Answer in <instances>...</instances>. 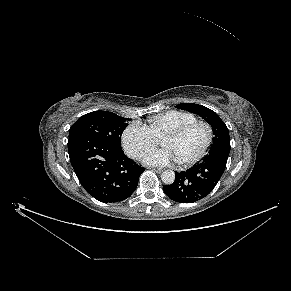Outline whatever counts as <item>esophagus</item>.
<instances>
[{
	"mask_svg": "<svg viewBox=\"0 0 291 291\" xmlns=\"http://www.w3.org/2000/svg\"><path fill=\"white\" fill-rule=\"evenodd\" d=\"M150 170L157 172V173H161L163 170L160 168H150Z\"/></svg>",
	"mask_w": 291,
	"mask_h": 291,
	"instance_id": "1",
	"label": "esophagus"
}]
</instances>
